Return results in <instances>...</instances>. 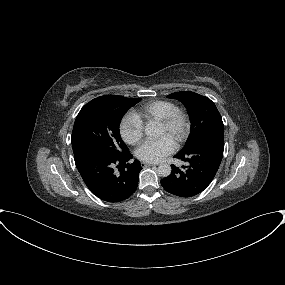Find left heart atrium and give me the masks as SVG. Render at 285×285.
<instances>
[{
	"label": "left heart atrium",
	"mask_w": 285,
	"mask_h": 285,
	"mask_svg": "<svg viewBox=\"0 0 285 285\" xmlns=\"http://www.w3.org/2000/svg\"><path fill=\"white\" fill-rule=\"evenodd\" d=\"M176 148L175 142L168 136L155 141L145 142L137 151L136 157L146 163H158Z\"/></svg>",
	"instance_id": "39dd6f15"
}]
</instances>
